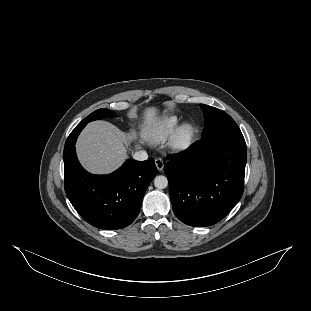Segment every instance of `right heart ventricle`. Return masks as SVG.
<instances>
[{
	"label": "right heart ventricle",
	"mask_w": 311,
	"mask_h": 311,
	"mask_svg": "<svg viewBox=\"0 0 311 311\" xmlns=\"http://www.w3.org/2000/svg\"><path fill=\"white\" fill-rule=\"evenodd\" d=\"M181 124V119L174 114L151 118L146 128L145 137L154 142L169 139Z\"/></svg>",
	"instance_id": "e07e8e85"
}]
</instances>
